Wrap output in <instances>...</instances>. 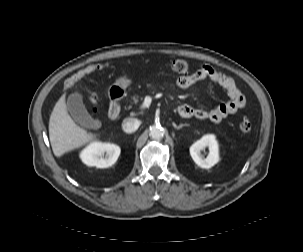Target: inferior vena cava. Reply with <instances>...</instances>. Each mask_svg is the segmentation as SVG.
<instances>
[{"instance_id":"602c4592","label":"inferior vena cava","mask_w":303,"mask_h":252,"mask_svg":"<svg viewBox=\"0 0 303 252\" xmlns=\"http://www.w3.org/2000/svg\"><path fill=\"white\" fill-rule=\"evenodd\" d=\"M139 125L136 118H125L122 122V129L126 133H132L138 129Z\"/></svg>"}]
</instances>
